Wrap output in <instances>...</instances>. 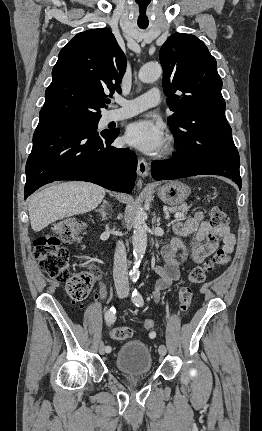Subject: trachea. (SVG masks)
Here are the masks:
<instances>
[{
	"instance_id": "1",
	"label": "trachea",
	"mask_w": 262,
	"mask_h": 431,
	"mask_svg": "<svg viewBox=\"0 0 262 431\" xmlns=\"http://www.w3.org/2000/svg\"><path fill=\"white\" fill-rule=\"evenodd\" d=\"M137 5H138V10L140 14H146L147 8L149 6V1L148 0H136ZM142 29L147 28V26H139Z\"/></svg>"
}]
</instances>
